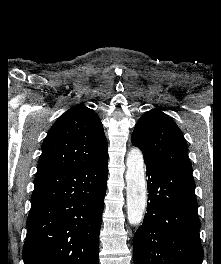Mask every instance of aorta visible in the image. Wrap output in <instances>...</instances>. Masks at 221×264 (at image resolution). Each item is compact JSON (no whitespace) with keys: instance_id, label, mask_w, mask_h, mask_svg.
I'll return each mask as SVG.
<instances>
[{"instance_id":"obj_1","label":"aorta","mask_w":221,"mask_h":264,"mask_svg":"<svg viewBox=\"0 0 221 264\" xmlns=\"http://www.w3.org/2000/svg\"><path fill=\"white\" fill-rule=\"evenodd\" d=\"M127 218L130 225H139L147 205L144 159L138 148H132L126 159Z\"/></svg>"}]
</instances>
